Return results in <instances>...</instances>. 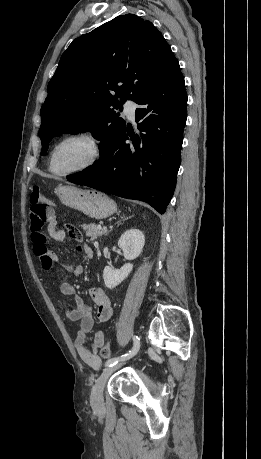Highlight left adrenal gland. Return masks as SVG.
I'll return each mask as SVG.
<instances>
[{
	"mask_svg": "<svg viewBox=\"0 0 261 459\" xmlns=\"http://www.w3.org/2000/svg\"><path fill=\"white\" fill-rule=\"evenodd\" d=\"M127 220V218H122V220L118 221L117 224L119 225L122 221Z\"/></svg>",
	"mask_w": 261,
	"mask_h": 459,
	"instance_id": "a2214340",
	"label": "left adrenal gland"
}]
</instances>
